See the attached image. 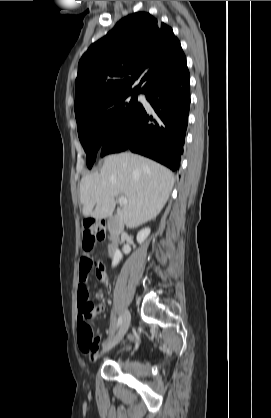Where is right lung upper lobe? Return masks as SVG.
Segmentation results:
<instances>
[{"label":"right lung upper lobe","mask_w":271,"mask_h":418,"mask_svg":"<svg viewBox=\"0 0 271 418\" xmlns=\"http://www.w3.org/2000/svg\"><path fill=\"white\" fill-rule=\"evenodd\" d=\"M186 61L171 27L146 12L121 19L82 56L75 81V116L120 94H147ZM138 82L131 90V86Z\"/></svg>","instance_id":"1"}]
</instances>
